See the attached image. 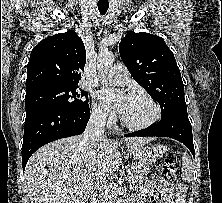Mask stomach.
<instances>
[{"mask_svg": "<svg viewBox=\"0 0 222 203\" xmlns=\"http://www.w3.org/2000/svg\"><path fill=\"white\" fill-rule=\"evenodd\" d=\"M165 152L166 148L161 144L130 149L131 155L137 158L142 165L152 164L161 158Z\"/></svg>", "mask_w": 222, "mask_h": 203, "instance_id": "0dacf381", "label": "stomach"}]
</instances>
